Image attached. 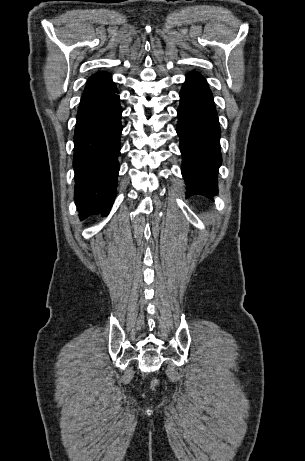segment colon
Listing matches in <instances>:
<instances>
[{"label":"colon","instance_id":"5ec220e1","mask_svg":"<svg viewBox=\"0 0 305 461\" xmlns=\"http://www.w3.org/2000/svg\"><path fill=\"white\" fill-rule=\"evenodd\" d=\"M152 384L155 385V384H156V380H153V381H152Z\"/></svg>","mask_w":305,"mask_h":461}]
</instances>
